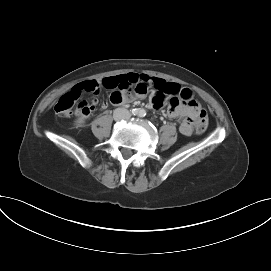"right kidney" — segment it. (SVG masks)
Returning a JSON list of instances; mask_svg holds the SVG:
<instances>
[{
	"mask_svg": "<svg viewBox=\"0 0 271 271\" xmlns=\"http://www.w3.org/2000/svg\"><path fill=\"white\" fill-rule=\"evenodd\" d=\"M84 122V120L81 118V119H78L77 121H76V123L78 124V125H80V124H82Z\"/></svg>",
	"mask_w": 271,
	"mask_h": 271,
	"instance_id": "obj_1",
	"label": "right kidney"
}]
</instances>
